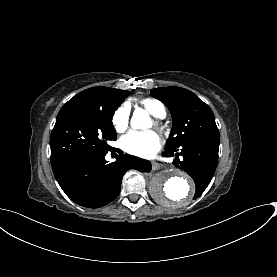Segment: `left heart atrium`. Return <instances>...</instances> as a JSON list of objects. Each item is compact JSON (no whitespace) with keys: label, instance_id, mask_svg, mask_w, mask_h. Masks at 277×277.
I'll return each instance as SVG.
<instances>
[{"label":"left heart atrium","instance_id":"obj_1","mask_svg":"<svg viewBox=\"0 0 277 277\" xmlns=\"http://www.w3.org/2000/svg\"><path fill=\"white\" fill-rule=\"evenodd\" d=\"M161 140L154 132H129L121 138L120 145L128 153L141 157L152 156L160 147Z\"/></svg>","mask_w":277,"mask_h":277}]
</instances>
